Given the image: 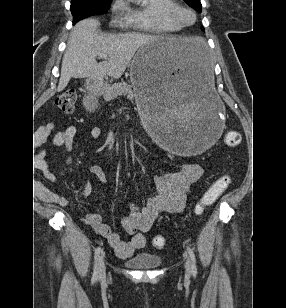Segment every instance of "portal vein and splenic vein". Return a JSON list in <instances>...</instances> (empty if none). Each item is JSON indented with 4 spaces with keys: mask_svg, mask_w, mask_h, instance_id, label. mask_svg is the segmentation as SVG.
I'll return each instance as SVG.
<instances>
[{
    "mask_svg": "<svg viewBox=\"0 0 286 308\" xmlns=\"http://www.w3.org/2000/svg\"><path fill=\"white\" fill-rule=\"evenodd\" d=\"M100 57L103 59H108V56L106 54H100Z\"/></svg>",
    "mask_w": 286,
    "mask_h": 308,
    "instance_id": "18ae733b",
    "label": "portal vein and splenic vein"
}]
</instances>
